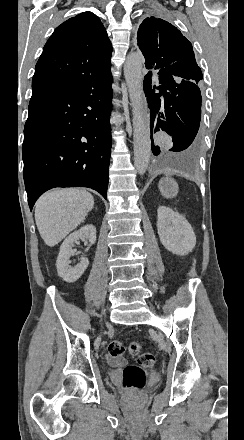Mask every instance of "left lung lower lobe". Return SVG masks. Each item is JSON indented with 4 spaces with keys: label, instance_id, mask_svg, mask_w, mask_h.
<instances>
[{
    "label": "left lung lower lobe",
    "instance_id": "obj_1",
    "mask_svg": "<svg viewBox=\"0 0 244 440\" xmlns=\"http://www.w3.org/2000/svg\"><path fill=\"white\" fill-rule=\"evenodd\" d=\"M152 72H149L143 88L150 109L151 132L163 130L173 141L170 152L192 149L197 141L201 119V92L198 83L177 80L171 75H158L160 86L151 85ZM159 90V93H156ZM152 140V136H151ZM152 152L160 154V148L152 140Z\"/></svg>",
    "mask_w": 244,
    "mask_h": 440
}]
</instances>
